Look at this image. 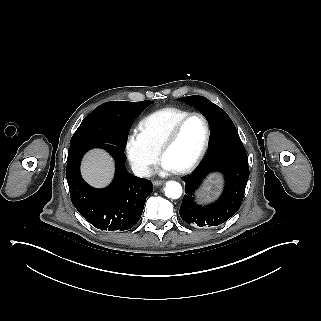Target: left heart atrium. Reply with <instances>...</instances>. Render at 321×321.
<instances>
[{"mask_svg": "<svg viewBox=\"0 0 321 321\" xmlns=\"http://www.w3.org/2000/svg\"><path fill=\"white\" fill-rule=\"evenodd\" d=\"M177 169L172 165V163L165 157H162L157 165V171L161 175H166L170 172H174Z\"/></svg>", "mask_w": 321, "mask_h": 321, "instance_id": "left-heart-atrium-1", "label": "left heart atrium"}]
</instances>
